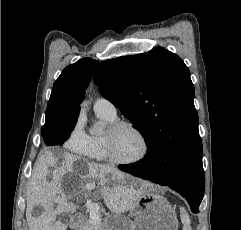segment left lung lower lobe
<instances>
[{"label":"left lung lower lobe","instance_id":"1","mask_svg":"<svg viewBox=\"0 0 241 230\" xmlns=\"http://www.w3.org/2000/svg\"><path fill=\"white\" fill-rule=\"evenodd\" d=\"M170 164V158L163 146L156 144L148 148L144 159L129 165H119V169L154 183L169 186L187 199L193 213H198L205 189L202 156L190 160L175 177L172 176Z\"/></svg>","mask_w":241,"mask_h":230}]
</instances>
